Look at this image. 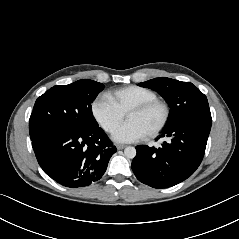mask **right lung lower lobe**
Instances as JSON below:
<instances>
[{
    "mask_svg": "<svg viewBox=\"0 0 239 239\" xmlns=\"http://www.w3.org/2000/svg\"><path fill=\"white\" fill-rule=\"evenodd\" d=\"M31 140L44 172L70 188L99 180L117 150L98 126L86 130L47 129Z\"/></svg>",
    "mask_w": 239,
    "mask_h": 239,
    "instance_id": "right-lung-lower-lobe-1",
    "label": "right lung lower lobe"
}]
</instances>
